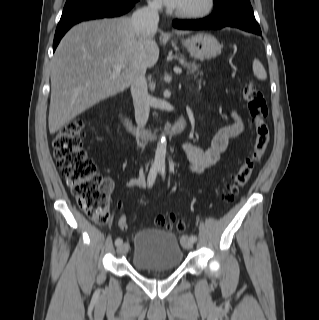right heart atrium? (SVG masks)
<instances>
[{"label": "right heart atrium", "instance_id": "right-heart-atrium-1", "mask_svg": "<svg viewBox=\"0 0 319 320\" xmlns=\"http://www.w3.org/2000/svg\"><path fill=\"white\" fill-rule=\"evenodd\" d=\"M149 7L153 10H160L161 9L160 0H149Z\"/></svg>", "mask_w": 319, "mask_h": 320}]
</instances>
